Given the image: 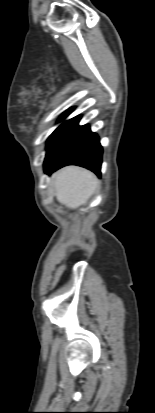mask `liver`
<instances>
[{"label": "liver", "mask_w": 155, "mask_h": 413, "mask_svg": "<svg viewBox=\"0 0 155 413\" xmlns=\"http://www.w3.org/2000/svg\"><path fill=\"white\" fill-rule=\"evenodd\" d=\"M57 200L68 208L85 205L98 186L96 176L89 170L67 166L54 175Z\"/></svg>", "instance_id": "1"}]
</instances>
